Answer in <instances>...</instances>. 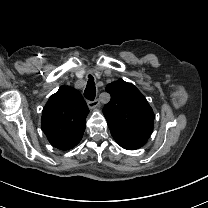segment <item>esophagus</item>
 I'll return each mask as SVG.
<instances>
[{"label": "esophagus", "mask_w": 208, "mask_h": 208, "mask_svg": "<svg viewBox=\"0 0 208 208\" xmlns=\"http://www.w3.org/2000/svg\"><path fill=\"white\" fill-rule=\"evenodd\" d=\"M100 104V101L98 99L93 101H88L87 105L90 109L97 107Z\"/></svg>", "instance_id": "esophagus-1"}]
</instances>
